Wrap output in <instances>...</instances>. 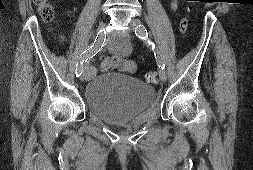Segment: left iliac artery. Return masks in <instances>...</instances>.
I'll return each mask as SVG.
<instances>
[{"label": "left iliac artery", "instance_id": "44dca946", "mask_svg": "<svg viewBox=\"0 0 253 170\" xmlns=\"http://www.w3.org/2000/svg\"><path fill=\"white\" fill-rule=\"evenodd\" d=\"M135 34H136V36H138L139 38H141L143 40H147L148 39L147 29L142 24L135 27ZM148 43L152 47V50L154 52V56L156 58V61L158 63L159 68H161L163 70L165 68V64H164V61L162 59V56H161L160 52L155 47V44L153 42H151V41L148 40Z\"/></svg>", "mask_w": 253, "mask_h": 170}]
</instances>
